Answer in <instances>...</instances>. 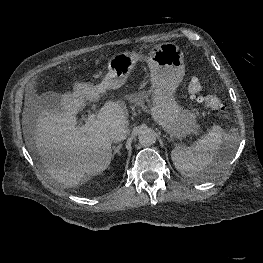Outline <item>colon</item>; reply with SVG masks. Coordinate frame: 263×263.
<instances>
[{"label":"colon","instance_id":"5ec220e1","mask_svg":"<svg viewBox=\"0 0 263 263\" xmlns=\"http://www.w3.org/2000/svg\"><path fill=\"white\" fill-rule=\"evenodd\" d=\"M188 91L193 98L213 110L217 115H225V108L219 97L211 92H207L198 79L191 80L188 85Z\"/></svg>","mask_w":263,"mask_h":263}]
</instances>
